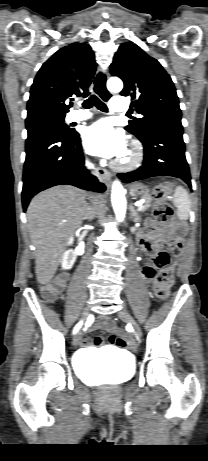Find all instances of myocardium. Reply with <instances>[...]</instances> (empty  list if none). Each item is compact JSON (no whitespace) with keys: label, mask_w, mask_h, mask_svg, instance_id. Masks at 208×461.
Instances as JSON below:
<instances>
[{"label":"myocardium","mask_w":208,"mask_h":461,"mask_svg":"<svg viewBox=\"0 0 208 461\" xmlns=\"http://www.w3.org/2000/svg\"><path fill=\"white\" fill-rule=\"evenodd\" d=\"M143 159L142 147L137 142H130L126 148V157L114 162V167L121 171H130L137 168Z\"/></svg>","instance_id":"1"}]
</instances>
